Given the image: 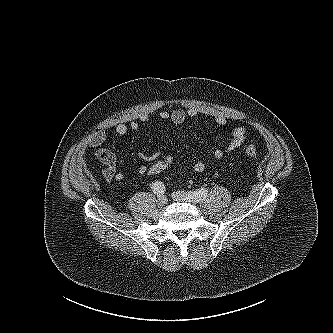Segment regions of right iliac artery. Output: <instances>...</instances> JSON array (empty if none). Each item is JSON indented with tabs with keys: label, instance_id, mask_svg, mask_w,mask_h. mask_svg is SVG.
Returning <instances> with one entry per match:
<instances>
[{
	"label": "right iliac artery",
	"instance_id": "right-iliac-artery-1",
	"mask_svg": "<svg viewBox=\"0 0 333 333\" xmlns=\"http://www.w3.org/2000/svg\"><path fill=\"white\" fill-rule=\"evenodd\" d=\"M152 190L155 194L161 195V194H164V192H165V186L161 181H156L152 185Z\"/></svg>",
	"mask_w": 333,
	"mask_h": 333
}]
</instances>
